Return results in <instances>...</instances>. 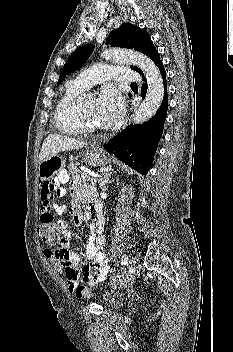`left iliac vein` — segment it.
Wrapping results in <instances>:
<instances>
[{
	"instance_id": "1",
	"label": "left iliac vein",
	"mask_w": 233,
	"mask_h": 352,
	"mask_svg": "<svg viewBox=\"0 0 233 352\" xmlns=\"http://www.w3.org/2000/svg\"><path fill=\"white\" fill-rule=\"evenodd\" d=\"M129 263L131 266H134L137 263L136 257L134 256L130 257Z\"/></svg>"
}]
</instances>
